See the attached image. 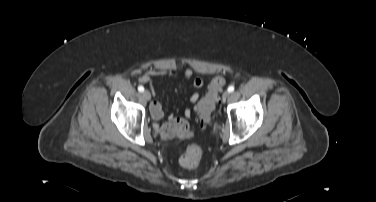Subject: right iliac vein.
Instances as JSON below:
<instances>
[{
	"mask_svg": "<svg viewBox=\"0 0 376 202\" xmlns=\"http://www.w3.org/2000/svg\"><path fill=\"white\" fill-rule=\"evenodd\" d=\"M142 96L145 100L149 101L151 99V94L149 91L145 90L142 92Z\"/></svg>",
	"mask_w": 376,
	"mask_h": 202,
	"instance_id": "right-iliac-vein-1",
	"label": "right iliac vein"
}]
</instances>
